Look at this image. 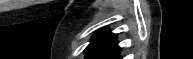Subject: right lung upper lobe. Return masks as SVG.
Returning a JSON list of instances; mask_svg holds the SVG:
<instances>
[{"label":"right lung upper lobe","mask_w":193,"mask_h":59,"mask_svg":"<svg viewBox=\"0 0 193 59\" xmlns=\"http://www.w3.org/2000/svg\"><path fill=\"white\" fill-rule=\"evenodd\" d=\"M86 59H120L115 35L106 31L96 34L86 49Z\"/></svg>","instance_id":"1"}]
</instances>
